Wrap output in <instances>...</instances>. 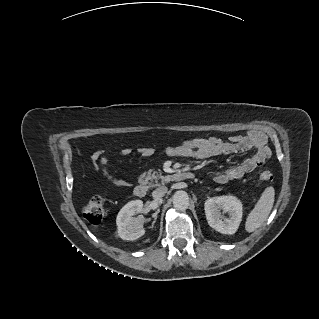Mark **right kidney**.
I'll return each instance as SVG.
<instances>
[{
  "instance_id": "1",
  "label": "right kidney",
  "mask_w": 319,
  "mask_h": 319,
  "mask_svg": "<svg viewBox=\"0 0 319 319\" xmlns=\"http://www.w3.org/2000/svg\"><path fill=\"white\" fill-rule=\"evenodd\" d=\"M143 202L132 200L119 211L116 218L118 236L127 241H133L145 234L143 217H133L135 213L142 211Z\"/></svg>"
}]
</instances>
